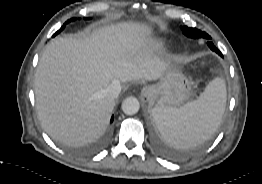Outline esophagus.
Instances as JSON below:
<instances>
[{
  "label": "esophagus",
  "mask_w": 262,
  "mask_h": 184,
  "mask_svg": "<svg viewBox=\"0 0 262 184\" xmlns=\"http://www.w3.org/2000/svg\"><path fill=\"white\" fill-rule=\"evenodd\" d=\"M141 96H142L144 101L149 100V98L151 96L150 88H143L142 91H141Z\"/></svg>",
  "instance_id": "1"
}]
</instances>
